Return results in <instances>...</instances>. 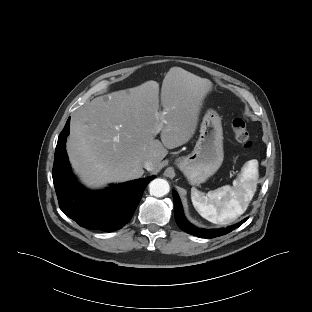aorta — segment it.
<instances>
[{
    "label": "aorta",
    "mask_w": 312,
    "mask_h": 312,
    "mask_svg": "<svg viewBox=\"0 0 312 312\" xmlns=\"http://www.w3.org/2000/svg\"><path fill=\"white\" fill-rule=\"evenodd\" d=\"M169 189V184L164 179L157 178L151 181L149 184L150 194L155 197H163L169 192Z\"/></svg>",
    "instance_id": "762f6f07"
}]
</instances>
